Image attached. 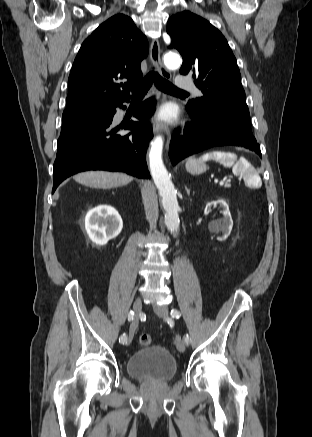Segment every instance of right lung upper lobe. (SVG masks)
Wrapping results in <instances>:
<instances>
[{
	"label": "right lung upper lobe",
	"instance_id": "1",
	"mask_svg": "<svg viewBox=\"0 0 312 437\" xmlns=\"http://www.w3.org/2000/svg\"><path fill=\"white\" fill-rule=\"evenodd\" d=\"M147 54V39L131 18L117 14L105 21L75 58L66 110L111 108L129 99L131 86L142 78L140 63ZM124 78L127 82H119Z\"/></svg>",
	"mask_w": 312,
	"mask_h": 437
}]
</instances>
